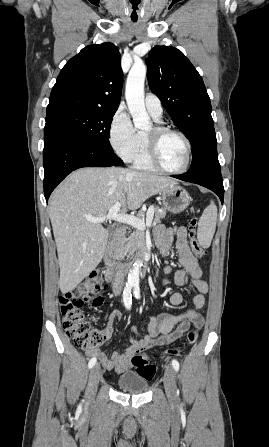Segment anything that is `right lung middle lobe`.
I'll return each instance as SVG.
<instances>
[{"label": "right lung middle lobe", "mask_w": 269, "mask_h": 447, "mask_svg": "<svg viewBox=\"0 0 269 447\" xmlns=\"http://www.w3.org/2000/svg\"><path fill=\"white\" fill-rule=\"evenodd\" d=\"M115 110L63 108L47 113L46 124L66 129L71 134L100 147L113 150L109 142Z\"/></svg>", "instance_id": "1"}]
</instances>
